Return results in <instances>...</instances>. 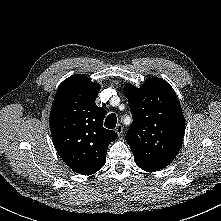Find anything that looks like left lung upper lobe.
Wrapping results in <instances>:
<instances>
[{
    "mask_svg": "<svg viewBox=\"0 0 221 221\" xmlns=\"http://www.w3.org/2000/svg\"><path fill=\"white\" fill-rule=\"evenodd\" d=\"M133 123L126 134L134 161L145 171L168 166L182 145L185 120L179 100L163 79L152 77L140 87H124Z\"/></svg>",
    "mask_w": 221,
    "mask_h": 221,
    "instance_id": "left-lung-upper-lobe-1",
    "label": "left lung upper lobe"
}]
</instances>
